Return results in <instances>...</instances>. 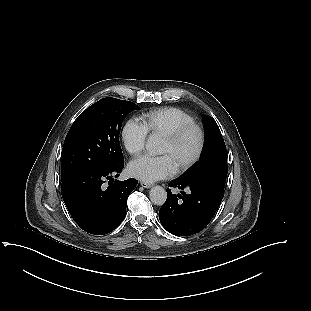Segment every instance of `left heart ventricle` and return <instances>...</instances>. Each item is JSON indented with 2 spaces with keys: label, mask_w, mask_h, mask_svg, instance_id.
<instances>
[{
  "label": "left heart ventricle",
  "mask_w": 311,
  "mask_h": 311,
  "mask_svg": "<svg viewBox=\"0 0 311 311\" xmlns=\"http://www.w3.org/2000/svg\"><path fill=\"white\" fill-rule=\"evenodd\" d=\"M195 146L196 135L194 132H190L174 145H171L167 141L163 140L159 153L167 155L173 166H177L193 153Z\"/></svg>",
  "instance_id": "obj_1"
}]
</instances>
